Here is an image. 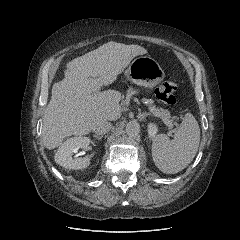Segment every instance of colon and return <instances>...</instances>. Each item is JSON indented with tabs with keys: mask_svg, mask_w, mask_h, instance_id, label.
I'll use <instances>...</instances> for the list:
<instances>
[{
	"mask_svg": "<svg viewBox=\"0 0 240 240\" xmlns=\"http://www.w3.org/2000/svg\"><path fill=\"white\" fill-rule=\"evenodd\" d=\"M176 89V83L168 81L163 83L155 90V95L160 101L164 102L165 104L173 105L177 101L175 96Z\"/></svg>",
	"mask_w": 240,
	"mask_h": 240,
	"instance_id": "obj_1",
	"label": "colon"
}]
</instances>
